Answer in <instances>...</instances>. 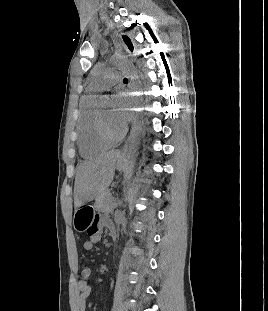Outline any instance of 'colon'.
Masks as SVG:
<instances>
[{
  "mask_svg": "<svg viewBox=\"0 0 268 311\" xmlns=\"http://www.w3.org/2000/svg\"><path fill=\"white\" fill-rule=\"evenodd\" d=\"M91 275V269L87 266L81 268V276L83 278H88Z\"/></svg>",
  "mask_w": 268,
  "mask_h": 311,
  "instance_id": "1",
  "label": "colon"
}]
</instances>
